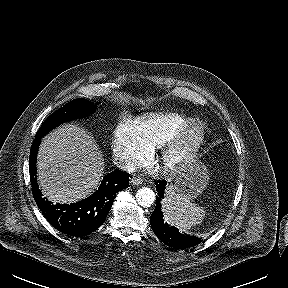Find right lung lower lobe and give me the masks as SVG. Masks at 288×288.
Wrapping results in <instances>:
<instances>
[{
	"label": "right lung lower lobe",
	"mask_w": 288,
	"mask_h": 288,
	"mask_svg": "<svg viewBox=\"0 0 288 288\" xmlns=\"http://www.w3.org/2000/svg\"><path fill=\"white\" fill-rule=\"evenodd\" d=\"M41 138L35 137L29 158V173L34 200L47 221L58 231L83 237L98 229L106 220L116 193L129 186V174L115 170L108 173L91 196L72 204L53 205L42 197L36 180V158Z\"/></svg>",
	"instance_id": "obj_1"
}]
</instances>
